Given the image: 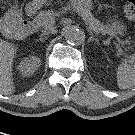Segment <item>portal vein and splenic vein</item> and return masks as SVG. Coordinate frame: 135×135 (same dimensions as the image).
<instances>
[{
	"label": "portal vein and splenic vein",
	"mask_w": 135,
	"mask_h": 135,
	"mask_svg": "<svg viewBox=\"0 0 135 135\" xmlns=\"http://www.w3.org/2000/svg\"><path fill=\"white\" fill-rule=\"evenodd\" d=\"M49 24H52V25L54 24V19L53 18L49 20ZM92 30L95 31L94 29H92ZM116 46L121 51V48L118 46V44H116ZM125 56H126V58H128V60L130 62H133L135 60V57L134 56H129V55H125Z\"/></svg>",
	"instance_id": "portal-vein-and-splenic-vein-1"
}]
</instances>
